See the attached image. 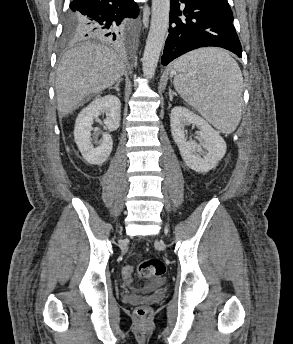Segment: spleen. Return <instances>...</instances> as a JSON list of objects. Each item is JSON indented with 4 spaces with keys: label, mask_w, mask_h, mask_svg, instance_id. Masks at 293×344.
<instances>
[{
    "label": "spleen",
    "mask_w": 293,
    "mask_h": 344,
    "mask_svg": "<svg viewBox=\"0 0 293 344\" xmlns=\"http://www.w3.org/2000/svg\"><path fill=\"white\" fill-rule=\"evenodd\" d=\"M174 87L179 95L223 133L241 118L243 77L237 62L224 50L203 48L177 59Z\"/></svg>",
    "instance_id": "obj_1"
}]
</instances>
